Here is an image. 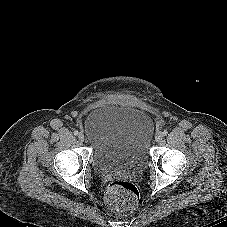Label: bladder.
I'll list each match as a JSON object with an SVG mask.
<instances>
[{
    "instance_id": "1",
    "label": "bladder",
    "mask_w": 227,
    "mask_h": 227,
    "mask_svg": "<svg viewBox=\"0 0 227 227\" xmlns=\"http://www.w3.org/2000/svg\"><path fill=\"white\" fill-rule=\"evenodd\" d=\"M152 126L150 114L135 106L104 104L90 111L84 131L95 171L107 175L144 166Z\"/></svg>"
}]
</instances>
